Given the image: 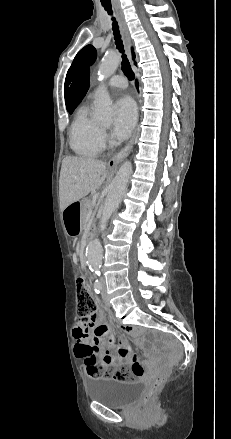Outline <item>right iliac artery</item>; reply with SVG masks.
Here are the masks:
<instances>
[{
    "label": "right iliac artery",
    "instance_id": "obj_1",
    "mask_svg": "<svg viewBox=\"0 0 231 439\" xmlns=\"http://www.w3.org/2000/svg\"><path fill=\"white\" fill-rule=\"evenodd\" d=\"M101 289H102L101 283L98 280H96L95 283H94V290H95V292L97 294H99Z\"/></svg>",
    "mask_w": 231,
    "mask_h": 439
}]
</instances>
